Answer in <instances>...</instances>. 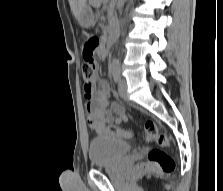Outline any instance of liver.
<instances>
[{"label":"liver","instance_id":"1","mask_svg":"<svg viewBox=\"0 0 223 191\" xmlns=\"http://www.w3.org/2000/svg\"><path fill=\"white\" fill-rule=\"evenodd\" d=\"M86 3L87 0H69L71 11L77 20H79L81 12L86 6Z\"/></svg>","mask_w":223,"mask_h":191}]
</instances>
